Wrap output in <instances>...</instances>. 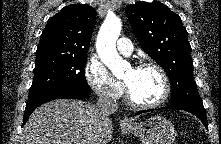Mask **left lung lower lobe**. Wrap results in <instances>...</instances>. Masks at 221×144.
Instances as JSON below:
<instances>
[{"label": "left lung lower lobe", "mask_w": 221, "mask_h": 144, "mask_svg": "<svg viewBox=\"0 0 221 144\" xmlns=\"http://www.w3.org/2000/svg\"><path fill=\"white\" fill-rule=\"evenodd\" d=\"M161 109H178V110H184V111L190 112L194 114L195 116H197L202 121L204 126L208 128L207 117H206V112H205L204 107H198V106H193V105H188V104H170L168 106L162 107ZM153 110L155 109L143 110V111L137 112L136 114H141V113H145V112H149Z\"/></svg>", "instance_id": "obj_1"}]
</instances>
